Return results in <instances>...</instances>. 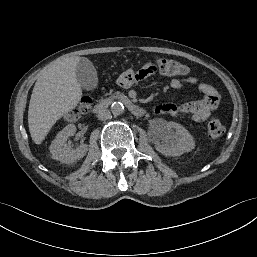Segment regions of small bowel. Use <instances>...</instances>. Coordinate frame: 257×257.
<instances>
[{
	"instance_id": "obj_1",
	"label": "small bowel",
	"mask_w": 257,
	"mask_h": 257,
	"mask_svg": "<svg viewBox=\"0 0 257 257\" xmlns=\"http://www.w3.org/2000/svg\"><path fill=\"white\" fill-rule=\"evenodd\" d=\"M158 77V65L153 60L138 61L135 65H126L116 72V82L123 89L141 88L145 84H151ZM194 76L174 77L170 86L180 90L187 84H197ZM198 93L202 98L181 105L162 104L155 108L156 114L189 116L193 121L203 122L216 109L219 103V93L216 87L208 81L198 83Z\"/></svg>"
}]
</instances>
